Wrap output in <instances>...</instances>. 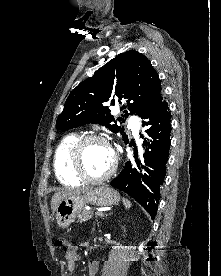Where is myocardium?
I'll return each mask as SVG.
<instances>
[{
	"mask_svg": "<svg viewBox=\"0 0 221 276\" xmlns=\"http://www.w3.org/2000/svg\"><path fill=\"white\" fill-rule=\"evenodd\" d=\"M92 141H99L107 144L111 148L113 153V162L111 167L104 174L96 177L89 175L86 172L83 164V149L87 143ZM69 161L74 174L82 181L89 183H100L109 179L115 173L118 166V157L115 150L104 136L98 134H87L80 136L74 142L70 150Z\"/></svg>",
	"mask_w": 221,
	"mask_h": 276,
	"instance_id": "myocardium-1",
	"label": "myocardium"
}]
</instances>
